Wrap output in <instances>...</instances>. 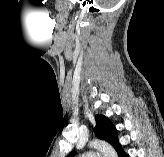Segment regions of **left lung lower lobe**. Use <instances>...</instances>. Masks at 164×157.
Returning <instances> with one entry per match:
<instances>
[{"label":"left lung lower lobe","mask_w":164,"mask_h":157,"mask_svg":"<svg viewBox=\"0 0 164 157\" xmlns=\"http://www.w3.org/2000/svg\"><path fill=\"white\" fill-rule=\"evenodd\" d=\"M114 148L116 149L117 153H118V157H129L125 151L123 150L121 144L118 142L114 145Z\"/></svg>","instance_id":"obj_1"}]
</instances>
